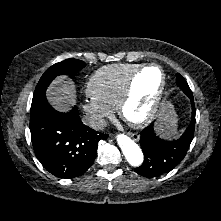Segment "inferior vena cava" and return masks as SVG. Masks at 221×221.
<instances>
[{
  "label": "inferior vena cava",
  "instance_id": "obj_1",
  "mask_svg": "<svg viewBox=\"0 0 221 221\" xmlns=\"http://www.w3.org/2000/svg\"><path fill=\"white\" fill-rule=\"evenodd\" d=\"M84 122L94 130H103L107 126V122L99 115H88L84 117Z\"/></svg>",
  "mask_w": 221,
  "mask_h": 221
}]
</instances>
